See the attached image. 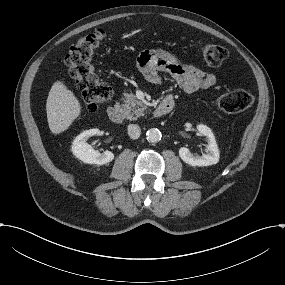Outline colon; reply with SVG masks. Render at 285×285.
<instances>
[{
	"instance_id": "obj_1",
	"label": "colon",
	"mask_w": 285,
	"mask_h": 285,
	"mask_svg": "<svg viewBox=\"0 0 285 285\" xmlns=\"http://www.w3.org/2000/svg\"><path fill=\"white\" fill-rule=\"evenodd\" d=\"M103 30H95L77 40L65 57L71 77L75 80L91 113H96L112 95L111 88L101 81L95 72L92 58L95 50L104 40ZM204 60L210 66L221 65L227 57V50L216 44H200ZM254 95L243 89L220 94L215 99L219 109L227 113H239L250 108Z\"/></svg>"
}]
</instances>
